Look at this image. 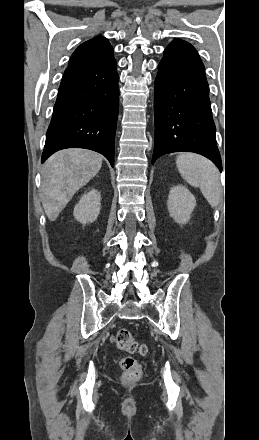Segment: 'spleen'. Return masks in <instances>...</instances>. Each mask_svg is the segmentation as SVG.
<instances>
[{
    "instance_id": "obj_1",
    "label": "spleen",
    "mask_w": 259,
    "mask_h": 440,
    "mask_svg": "<svg viewBox=\"0 0 259 440\" xmlns=\"http://www.w3.org/2000/svg\"><path fill=\"white\" fill-rule=\"evenodd\" d=\"M177 168L185 181L199 187L205 199L216 207L222 195L219 172L205 157L194 153H183L176 159Z\"/></svg>"
}]
</instances>
